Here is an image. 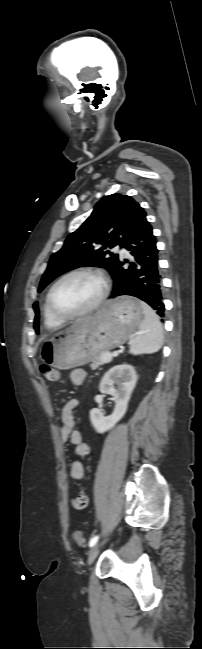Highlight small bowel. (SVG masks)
Segmentation results:
<instances>
[{
    "label": "small bowel",
    "instance_id": "small-bowel-1",
    "mask_svg": "<svg viewBox=\"0 0 202 649\" xmlns=\"http://www.w3.org/2000/svg\"><path fill=\"white\" fill-rule=\"evenodd\" d=\"M86 373L82 369H75L70 372L69 382L73 386H80L85 380ZM78 406L77 400L73 399L68 401L61 410V428H60V441L64 445L70 442L74 447V455L76 457H85L90 452V447L82 441L81 433L74 428L75 420L74 413ZM62 458L65 457V449H62ZM70 477L73 483H79L84 476V467L79 460H75L69 467ZM88 498L84 492H80L71 500V504L76 509H83L86 507Z\"/></svg>",
    "mask_w": 202,
    "mask_h": 649
}]
</instances>
